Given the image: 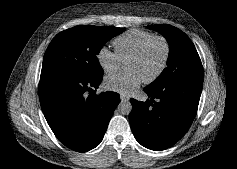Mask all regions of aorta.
<instances>
[{
  "mask_svg": "<svg viewBox=\"0 0 237 169\" xmlns=\"http://www.w3.org/2000/svg\"><path fill=\"white\" fill-rule=\"evenodd\" d=\"M131 110L132 105L128 100L121 101L117 107V111L121 115H129Z\"/></svg>",
  "mask_w": 237,
  "mask_h": 169,
  "instance_id": "1",
  "label": "aorta"
}]
</instances>
